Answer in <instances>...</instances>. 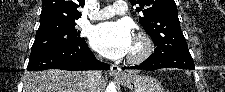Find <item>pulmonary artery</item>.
Segmentation results:
<instances>
[{"label": "pulmonary artery", "mask_w": 225, "mask_h": 92, "mask_svg": "<svg viewBox=\"0 0 225 92\" xmlns=\"http://www.w3.org/2000/svg\"><path fill=\"white\" fill-rule=\"evenodd\" d=\"M127 12L126 3L124 1H116L111 5L104 7L93 17L94 20H104L112 17L115 14H124Z\"/></svg>", "instance_id": "obj_1"}]
</instances>
